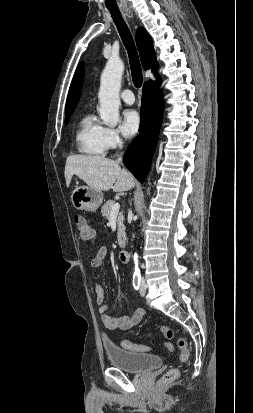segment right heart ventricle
I'll return each mask as SVG.
<instances>
[{
	"mask_svg": "<svg viewBox=\"0 0 253 413\" xmlns=\"http://www.w3.org/2000/svg\"><path fill=\"white\" fill-rule=\"evenodd\" d=\"M104 127L92 114H85L78 123L75 135L77 150L85 155L100 157L106 152Z\"/></svg>",
	"mask_w": 253,
	"mask_h": 413,
	"instance_id": "1",
	"label": "right heart ventricle"
}]
</instances>
